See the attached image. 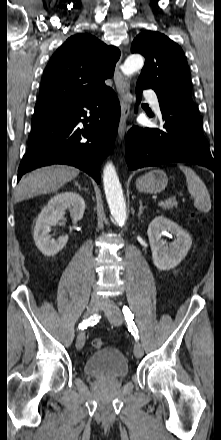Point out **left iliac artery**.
<instances>
[{"instance_id": "1", "label": "left iliac artery", "mask_w": 221, "mask_h": 440, "mask_svg": "<svg viewBox=\"0 0 221 440\" xmlns=\"http://www.w3.org/2000/svg\"><path fill=\"white\" fill-rule=\"evenodd\" d=\"M123 314L125 316L126 322L128 324V329L131 331L132 335L135 337V339H139L138 335V329L134 323V315L131 313L128 307H123Z\"/></svg>"}]
</instances>
